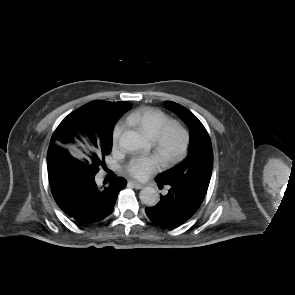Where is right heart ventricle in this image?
<instances>
[{
  "mask_svg": "<svg viewBox=\"0 0 295 295\" xmlns=\"http://www.w3.org/2000/svg\"><path fill=\"white\" fill-rule=\"evenodd\" d=\"M170 120V117L165 112L157 108H142L131 113L128 117V122L131 125L136 126L151 139Z\"/></svg>",
  "mask_w": 295,
  "mask_h": 295,
  "instance_id": "1",
  "label": "right heart ventricle"
}]
</instances>
